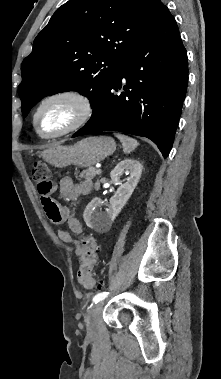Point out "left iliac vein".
I'll return each mask as SVG.
<instances>
[{"mask_svg":"<svg viewBox=\"0 0 221 379\" xmlns=\"http://www.w3.org/2000/svg\"><path fill=\"white\" fill-rule=\"evenodd\" d=\"M102 310V302L94 304L86 317V327L89 333H94L98 327L99 316Z\"/></svg>","mask_w":221,"mask_h":379,"instance_id":"4c4485c4","label":"left iliac vein"}]
</instances>
